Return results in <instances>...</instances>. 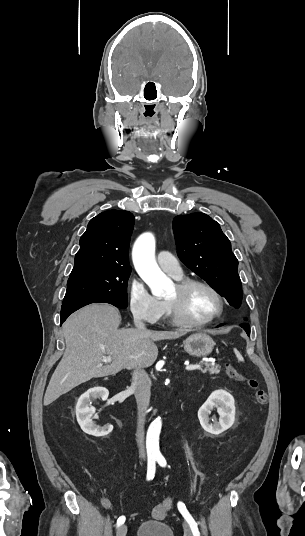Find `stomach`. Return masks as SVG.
<instances>
[{
  "label": "stomach",
  "instance_id": "obj_1",
  "mask_svg": "<svg viewBox=\"0 0 305 536\" xmlns=\"http://www.w3.org/2000/svg\"><path fill=\"white\" fill-rule=\"evenodd\" d=\"M184 350L190 356H196V358H204L211 354L214 348V342L207 334H192L187 340H184Z\"/></svg>",
  "mask_w": 305,
  "mask_h": 536
}]
</instances>
